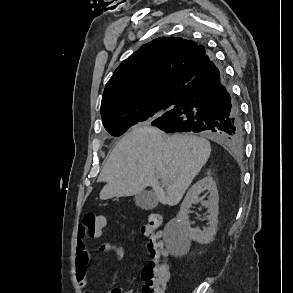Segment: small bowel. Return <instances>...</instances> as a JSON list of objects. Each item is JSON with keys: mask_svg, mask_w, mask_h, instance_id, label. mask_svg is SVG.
Instances as JSON below:
<instances>
[{"mask_svg": "<svg viewBox=\"0 0 293 293\" xmlns=\"http://www.w3.org/2000/svg\"><path fill=\"white\" fill-rule=\"evenodd\" d=\"M98 251L101 253H111L115 255L118 260H122L126 256V250L123 246L114 242L106 241L99 245ZM91 262V253L87 248L86 237L83 234L82 228L79 227L78 235L76 238V250L74 258V267L76 271L77 282L81 287H86L87 269ZM84 293H94L91 290H85ZM111 293H134V290H124L120 287H115Z\"/></svg>", "mask_w": 293, "mask_h": 293, "instance_id": "1", "label": "small bowel"}]
</instances>
